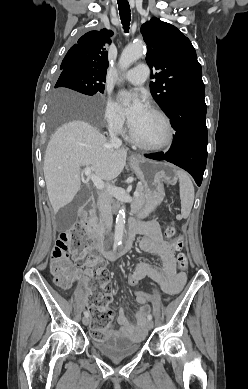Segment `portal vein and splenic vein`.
Segmentation results:
<instances>
[{"instance_id":"1","label":"portal vein and splenic vein","mask_w":248,"mask_h":389,"mask_svg":"<svg viewBox=\"0 0 248 389\" xmlns=\"http://www.w3.org/2000/svg\"><path fill=\"white\" fill-rule=\"evenodd\" d=\"M95 168L93 166L84 168V174L87 177H90L93 184L97 187L98 190H103L105 185L102 179L97 176L95 173ZM134 196H139V193L137 191L134 192Z\"/></svg>"}]
</instances>
